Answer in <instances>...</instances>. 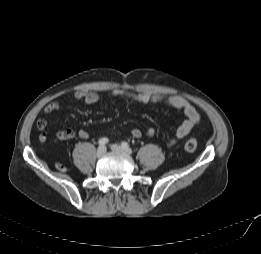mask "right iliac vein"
Instances as JSON below:
<instances>
[{
  "label": "right iliac vein",
  "mask_w": 261,
  "mask_h": 254,
  "mask_svg": "<svg viewBox=\"0 0 261 254\" xmlns=\"http://www.w3.org/2000/svg\"><path fill=\"white\" fill-rule=\"evenodd\" d=\"M106 153V147L105 146H99L97 149V157H102Z\"/></svg>",
  "instance_id": "1"
}]
</instances>
